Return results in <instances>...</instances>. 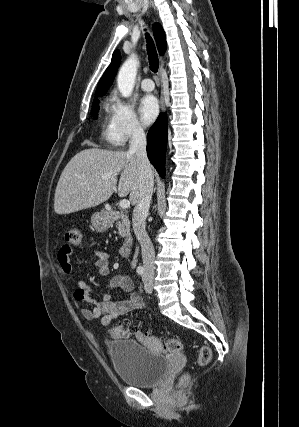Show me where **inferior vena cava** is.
<instances>
[{
	"instance_id": "inferior-vena-cava-1",
	"label": "inferior vena cava",
	"mask_w": 299,
	"mask_h": 427,
	"mask_svg": "<svg viewBox=\"0 0 299 427\" xmlns=\"http://www.w3.org/2000/svg\"><path fill=\"white\" fill-rule=\"evenodd\" d=\"M129 153L136 155L140 179V195L133 210V230L141 245L142 260L146 275L154 274L155 252L153 244L146 232V218L148 216L153 193L154 177L146 153V136L143 128H133L129 141Z\"/></svg>"
}]
</instances>
